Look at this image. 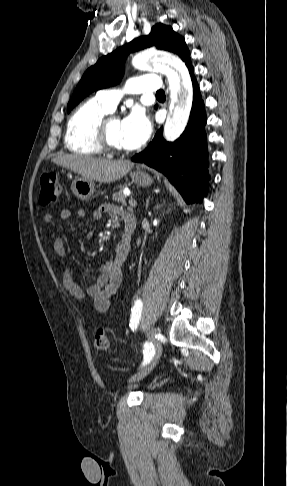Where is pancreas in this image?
Wrapping results in <instances>:
<instances>
[{"mask_svg":"<svg viewBox=\"0 0 287 486\" xmlns=\"http://www.w3.org/2000/svg\"><path fill=\"white\" fill-rule=\"evenodd\" d=\"M112 200L117 203H121L123 205L126 204V196L124 195L123 191L120 190L117 193H114L112 196Z\"/></svg>","mask_w":287,"mask_h":486,"instance_id":"obj_1","label":"pancreas"}]
</instances>
